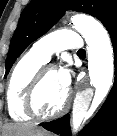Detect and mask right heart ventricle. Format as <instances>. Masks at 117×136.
<instances>
[{
	"mask_svg": "<svg viewBox=\"0 0 117 136\" xmlns=\"http://www.w3.org/2000/svg\"><path fill=\"white\" fill-rule=\"evenodd\" d=\"M44 64L45 61L30 50L14 66L6 88L7 109L12 119H31L24 109L25 93L35 74Z\"/></svg>",
	"mask_w": 117,
	"mask_h": 136,
	"instance_id": "1",
	"label": "right heart ventricle"
}]
</instances>
